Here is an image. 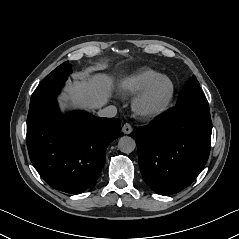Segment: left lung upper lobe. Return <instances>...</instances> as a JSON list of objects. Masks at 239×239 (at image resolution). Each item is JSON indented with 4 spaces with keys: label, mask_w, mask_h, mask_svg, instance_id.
<instances>
[{
    "label": "left lung upper lobe",
    "mask_w": 239,
    "mask_h": 239,
    "mask_svg": "<svg viewBox=\"0 0 239 239\" xmlns=\"http://www.w3.org/2000/svg\"><path fill=\"white\" fill-rule=\"evenodd\" d=\"M187 101H200V102H207V99L204 97L199 82L195 76L190 78L184 88L179 93L177 104H182Z\"/></svg>",
    "instance_id": "5c2ea615"
}]
</instances>
